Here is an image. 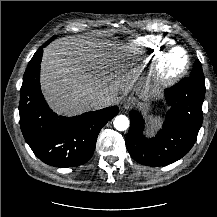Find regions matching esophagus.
<instances>
[{"label":"esophagus","mask_w":217,"mask_h":217,"mask_svg":"<svg viewBox=\"0 0 217 217\" xmlns=\"http://www.w3.org/2000/svg\"><path fill=\"white\" fill-rule=\"evenodd\" d=\"M136 105V100L133 97H127L123 100V108L130 109Z\"/></svg>","instance_id":"esophagus-1"}]
</instances>
